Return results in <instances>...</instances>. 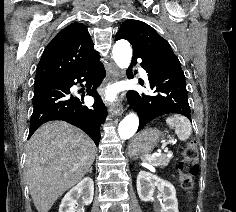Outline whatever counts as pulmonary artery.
<instances>
[{
  "label": "pulmonary artery",
  "mask_w": 236,
  "mask_h": 212,
  "mask_svg": "<svg viewBox=\"0 0 236 212\" xmlns=\"http://www.w3.org/2000/svg\"><path fill=\"white\" fill-rule=\"evenodd\" d=\"M140 74L143 78H147V73L143 69H140Z\"/></svg>",
  "instance_id": "1"
}]
</instances>
